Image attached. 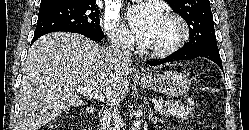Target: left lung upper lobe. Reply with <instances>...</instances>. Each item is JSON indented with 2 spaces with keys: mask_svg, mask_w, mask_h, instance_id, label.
I'll return each mask as SVG.
<instances>
[{
  "mask_svg": "<svg viewBox=\"0 0 249 130\" xmlns=\"http://www.w3.org/2000/svg\"><path fill=\"white\" fill-rule=\"evenodd\" d=\"M186 21L190 40L183 48L218 50L209 0H166Z\"/></svg>",
  "mask_w": 249,
  "mask_h": 130,
  "instance_id": "1",
  "label": "left lung upper lobe"
}]
</instances>
